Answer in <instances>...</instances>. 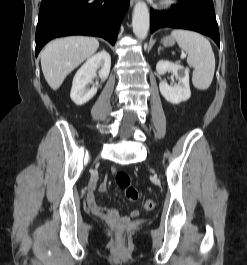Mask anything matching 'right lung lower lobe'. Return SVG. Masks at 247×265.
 I'll use <instances>...</instances> for the list:
<instances>
[{
  "instance_id": "obj_1",
  "label": "right lung lower lobe",
  "mask_w": 247,
  "mask_h": 265,
  "mask_svg": "<svg viewBox=\"0 0 247 265\" xmlns=\"http://www.w3.org/2000/svg\"><path fill=\"white\" fill-rule=\"evenodd\" d=\"M129 0H42L36 29V56L51 39L68 35L117 39Z\"/></svg>"
}]
</instances>
